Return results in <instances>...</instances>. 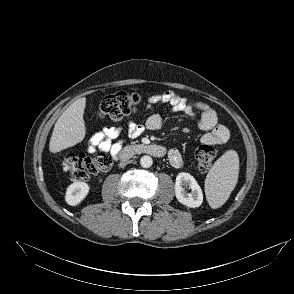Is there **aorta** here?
I'll return each mask as SVG.
<instances>
[{
  "label": "aorta",
  "instance_id": "aorta-1",
  "mask_svg": "<svg viewBox=\"0 0 294 294\" xmlns=\"http://www.w3.org/2000/svg\"><path fill=\"white\" fill-rule=\"evenodd\" d=\"M140 164L143 168H149L153 164L152 158L148 155H144L140 159Z\"/></svg>",
  "mask_w": 294,
  "mask_h": 294
}]
</instances>
